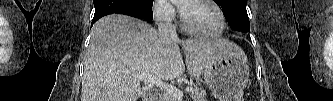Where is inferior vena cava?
Returning <instances> with one entry per match:
<instances>
[{"label":"inferior vena cava","mask_w":333,"mask_h":101,"mask_svg":"<svg viewBox=\"0 0 333 101\" xmlns=\"http://www.w3.org/2000/svg\"><path fill=\"white\" fill-rule=\"evenodd\" d=\"M158 30L166 41L177 39L176 28L171 19H162L158 22Z\"/></svg>","instance_id":"inferior-vena-cava-1"}]
</instances>
